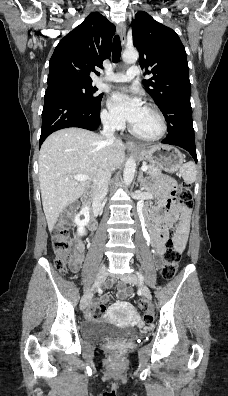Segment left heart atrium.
Returning a JSON list of instances; mask_svg holds the SVG:
<instances>
[{
    "instance_id": "1",
    "label": "left heart atrium",
    "mask_w": 228,
    "mask_h": 396,
    "mask_svg": "<svg viewBox=\"0 0 228 396\" xmlns=\"http://www.w3.org/2000/svg\"><path fill=\"white\" fill-rule=\"evenodd\" d=\"M109 108L118 120L134 125L140 116L143 106L139 97L129 95L123 91H117L109 99Z\"/></svg>"
}]
</instances>
